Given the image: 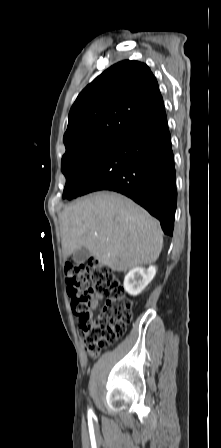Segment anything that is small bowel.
<instances>
[{
	"instance_id": "c3829d8e",
	"label": "small bowel",
	"mask_w": 221,
	"mask_h": 448,
	"mask_svg": "<svg viewBox=\"0 0 221 448\" xmlns=\"http://www.w3.org/2000/svg\"><path fill=\"white\" fill-rule=\"evenodd\" d=\"M97 306H98V302H97V301H95V302L93 303V306H92V310L96 309V308H97Z\"/></svg>"
}]
</instances>
